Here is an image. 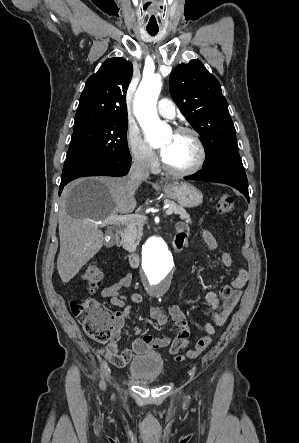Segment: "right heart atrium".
I'll return each mask as SVG.
<instances>
[{
    "mask_svg": "<svg viewBox=\"0 0 299 443\" xmlns=\"http://www.w3.org/2000/svg\"><path fill=\"white\" fill-rule=\"evenodd\" d=\"M126 143L135 165L144 170H153L157 160L154 152L147 146L138 128L129 126L126 132Z\"/></svg>",
    "mask_w": 299,
    "mask_h": 443,
    "instance_id": "1",
    "label": "right heart atrium"
}]
</instances>
